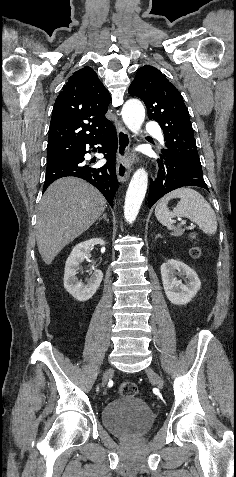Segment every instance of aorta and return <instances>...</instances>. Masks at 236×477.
<instances>
[{
	"mask_svg": "<svg viewBox=\"0 0 236 477\" xmlns=\"http://www.w3.org/2000/svg\"><path fill=\"white\" fill-rule=\"evenodd\" d=\"M122 118L125 125L134 134H138L145 119V108L141 101L129 99L122 108ZM148 185V174L144 168H139L132 176L129 183L125 204L124 217L132 223L140 210Z\"/></svg>",
	"mask_w": 236,
	"mask_h": 477,
	"instance_id": "762f6f07",
	"label": "aorta"
}]
</instances>
